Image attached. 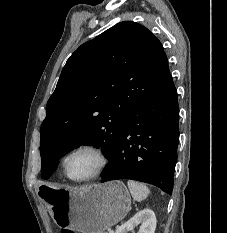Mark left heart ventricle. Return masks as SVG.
Returning a JSON list of instances; mask_svg holds the SVG:
<instances>
[{"label": "left heart ventricle", "mask_w": 227, "mask_h": 233, "mask_svg": "<svg viewBox=\"0 0 227 233\" xmlns=\"http://www.w3.org/2000/svg\"><path fill=\"white\" fill-rule=\"evenodd\" d=\"M98 165V158L89 151L74 154L68 163V171L72 178L80 179L90 175Z\"/></svg>", "instance_id": "b2bd125f"}]
</instances>
